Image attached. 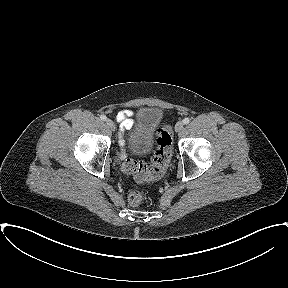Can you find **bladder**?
<instances>
[{"instance_id": "obj_1", "label": "bladder", "mask_w": 288, "mask_h": 288, "mask_svg": "<svg viewBox=\"0 0 288 288\" xmlns=\"http://www.w3.org/2000/svg\"><path fill=\"white\" fill-rule=\"evenodd\" d=\"M163 116V111L157 107H143L138 110L134 128L127 139L132 152L143 154L152 149Z\"/></svg>"}]
</instances>
